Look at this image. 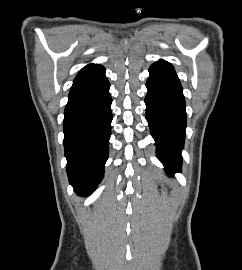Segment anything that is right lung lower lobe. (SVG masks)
Here are the masks:
<instances>
[{
	"instance_id": "right-lung-lower-lobe-1",
	"label": "right lung lower lobe",
	"mask_w": 242,
	"mask_h": 270,
	"mask_svg": "<svg viewBox=\"0 0 242 270\" xmlns=\"http://www.w3.org/2000/svg\"><path fill=\"white\" fill-rule=\"evenodd\" d=\"M110 84L101 65L83 68L70 90L64 112V147L69 182L88 195L104 175L111 135Z\"/></svg>"
}]
</instances>
